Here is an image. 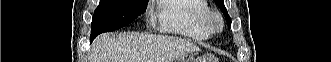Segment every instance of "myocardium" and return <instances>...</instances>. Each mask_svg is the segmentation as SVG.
Listing matches in <instances>:
<instances>
[{"mask_svg":"<svg viewBox=\"0 0 331 62\" xmlns=\"http://www.w3.org/2000/svg\"><path fill=\"white\" fill-rule=\"evenodd\" d=\"M206 20L211 30L214 32L220 31L223 27L222 17L217 11H209Z\"/></svg>","mask_w":331,"mask_h":62,"instance_id":"myocardium-1","label":"myocardium"}]
</instances>
